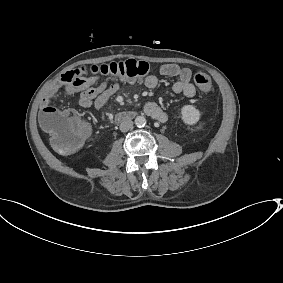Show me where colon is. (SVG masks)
Instances as JSON below:
<instances>
[{
    "label": "colon",
    "mask_w": 283,
    "mask_h": 283,
    "mask_svg": "<svg viewBox=\"0 0 283 283\" xmlns=\"http://www.w3.org/2000/svg\"><path fill=\"white\" fill-rule=\"evenodd\" d=\"M90 71L93 74L133 82L150 75L152 67L144 61L127 60L93 66ZM80 72L86 74L88 71L81 68ZM67 78H70V75H67ZM194 82L204 92L212 88L211 78L207 74L196 73ZM40 124L49 134L55 149L64 154L78 150L91 132L89 121L72 109L65 111L55 108L45 109L40 115Z\"/></svg>",
    "instance_id": "1"
}]
</instances>
